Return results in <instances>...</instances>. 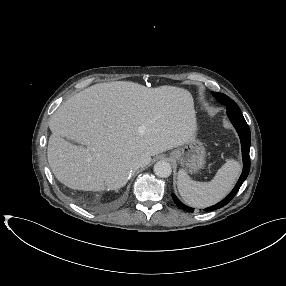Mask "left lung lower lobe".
Returning a JSON list of instances; mask_svg holds the SVG:
<instances>
[{
	"instance_id": "left-lung-lower-lobe-1",
	"label": "left lung lower lobe",
	"mask_w": 286,
	"mask_h": 286,
	"mask_svg": "<svg viewBox=\"0 0 286 286\" xmlns=\"http://www.w3.org/2000/svg\"><path fill=\"white\" fill-rule=\"evenodd\" d=\"M227 115H228L230 121L232 122L233 126L237 130L239 137H240V140H241L242 157H243V171H242V174H241L238 182L236 183L234 189L228 194V196L226 198H224L221 202H219V203H217L211 207L206 208L205 211L216 210V209H219V208L225 206L227 203H229L232 200V198L235 196V194L238 192L242 183L247 178V176L249 174V170H250L249 150H250V144H251V135H250V129L248 127V124L246 123V121H245V119L241 113L228 111ZM172 198H173L174 202L176 203V205L179 208L183 209L184 211H187V212H193L194 211L193 208L188 207V206L184 205L181 201H179V199L175 195H172Z\"/></svg>"
}]
</instances>
